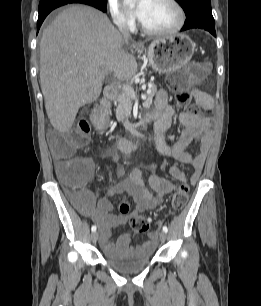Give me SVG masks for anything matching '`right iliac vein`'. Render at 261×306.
Returning <instances> with one entry per match:
<instances>
[{
  "instance_id": "1",
  "label": "right iliac vein",
  "mask_w": 261,
  "mask_h": 306,
  "mask_svg": "<svg viewBox=\"0 0 261 306\" xmlns=\"http://www.w3.org/2000/svg\"><path fill=\"white\" fill-rule=\"evenodd\" d=\"M98 237H99L98 232L94 231V232L91 234V240H92V242L95 243V242L97 241Z\"/></svg>"
}]
</instances>
